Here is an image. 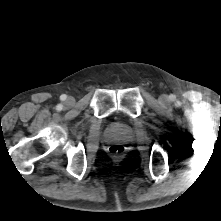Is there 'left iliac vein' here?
I'll return each instance as SVG.
<instances>
[{
  "mask_svg": "<svg viewBox=\"0 0 221 221\" xmlns=\"http://www.w3.org/2000/svg\"><path fill=\"white\" fill-rule=\"evenodd\" d=\"M159 101H160V103L164 104V103H167L169 101V98L166 95H161L160 98H159Z\"/></svg>",
  "mask_w": 221,
  "mask_h": 221,
  "instance_id": "4c4485c4",
  "label": "left iliac vein"
}]
</instances>
